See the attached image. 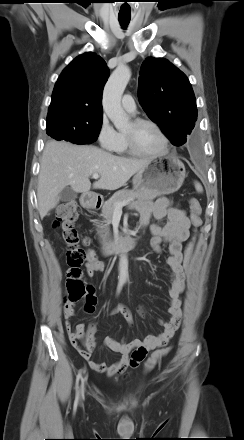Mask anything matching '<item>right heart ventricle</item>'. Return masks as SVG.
I'll return each instance as SVG.
<instances>
[{
	"mask_svg": "<svg viewBox=\"0 0 244 440\" xmlns=\"http://www.w3.org/2000/svg\"><path fill=\"white\" fill-rule=\"evenodd\" d=\"M114 153L120 154V155H131L133 154L126 142L125 136L123 132L118 133V139L117 143L112 149Z\"/></svg>",
	"mask_w": 244,
	"mask_h": 440,
	"instance_id": "1",
	"label": "right heart ventricle"
}]
</instances>
